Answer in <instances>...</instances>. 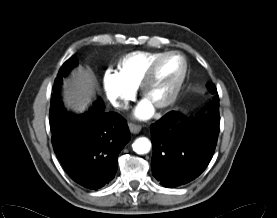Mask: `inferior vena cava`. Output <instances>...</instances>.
<instances>
[{
	"label": "inferior vena cava",
	"instance_id": "1",
	"mask_svg": "<svg viewBox=\"0 0 277 218\" xmlns=\"http://www.w3.org/2000/svg\"><path fill=\"white\" fill-rule=\"evenodd\" d=\"M114 106L116 108H120V109H127L128 108V102H126V101H117V102H114Z\"/></svg>",
	"mask_w": 277,
	"mask_h": 218
}]
</instances>
